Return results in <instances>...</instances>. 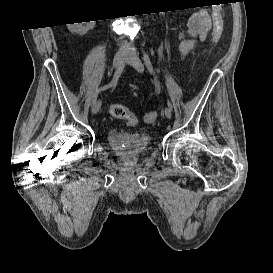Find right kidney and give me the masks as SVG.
Returning <instances> with one entry per match:
<instances>
[{
	"label": "right kidney",
	"instance_id": "ca27d5eb",
	"mask_svg": "<svg viewBox=\"0 0 273 273\" xmlns=\"http://www.w3.org/2000/svg\"><path fill=\"white\" fill-rule=\"evenodd\" d=\"M86 22H82L85 24ZM81 23L75 24L76 26L70 27V30L76 33L85 34L89 29H92L95 25V21H90L86 26H82Z\"/></svg>",
	"mask_w": 273,
	"mask_h": 273
}]
</instances>
